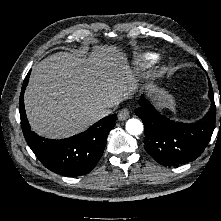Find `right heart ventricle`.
<instances>
[{"label": "right heart ventricle", "mask_w": 221, "mask_h": 221, "mask_svg": "<svg viewBox=\"0 0 221 221\" xmlns=\"http://www.w3.org/2000/svg\"><path fill=\"white\" fill-rule=\"evenodd\" d=\"M158 59V55L155 53H147L144 54L140 59V63L144 64V65H150L153 64L154 62H156V60Z\"/></svg>", "instance_id": "right-heart-ventricle-1"}]
</instances>
